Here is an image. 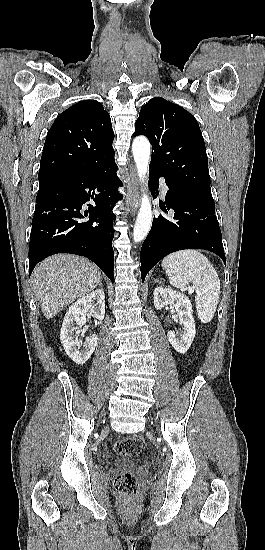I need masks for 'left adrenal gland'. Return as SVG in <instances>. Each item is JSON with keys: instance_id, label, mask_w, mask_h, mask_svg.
Returning <instances> with one entry per match:
<instances>
[{"instance_id": "a2214340", "label": "left adrenal gland", "mask_w": 265, "mask_h": 550, "mask_svg": "<svg viewBox=\"0 0 265 550\" xmlns=\"http://www.w3.org/2000/svg\"><path fill=\"white\" fill-rule=\"evenodd\" d=\"M154 282H157V280H156V279H154Z\"/></svg>"}]
</instances>
